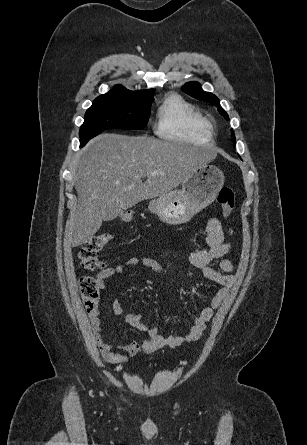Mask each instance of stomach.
Segmentation results:
<instances>
[{"label":"stomach","instance_id":"0dacf381","mask_svg":"<svg viewBox=\"0 0 307 445\" xmlns=\"http://www.w3.org/2000/svg\"><path fill=\"white\" fill-rule=\"evenodd\" d=\"M224 174L214 164H200L182 182L181 190H170L149 200L148 208L167 225L188 223L196 212L215 200L224 184Z\"/></svg>","mask_w":307,"mask_h":445}]
</instances>
